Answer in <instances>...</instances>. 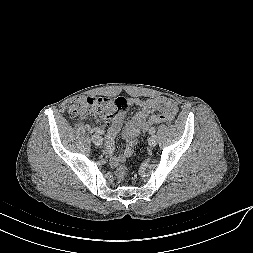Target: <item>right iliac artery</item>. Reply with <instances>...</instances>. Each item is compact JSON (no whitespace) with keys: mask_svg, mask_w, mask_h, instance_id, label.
Instances as JSON below:
<instances>
[{"mask_svg":"<svg viewBox=\"0 0 253 253\" xmlns=\"http://www.w3.org/2000/svg\"><path fill=\"white\" fill-rule=\"evenodd\" d=\"M94 131H95L96 133H98V134H104V130H102V129H100V128H96Z\"/></svg>","mask_w":253,"mask_h":253,"instance_id":"obj_1","label":"right iliac artery"}]
</instances>
